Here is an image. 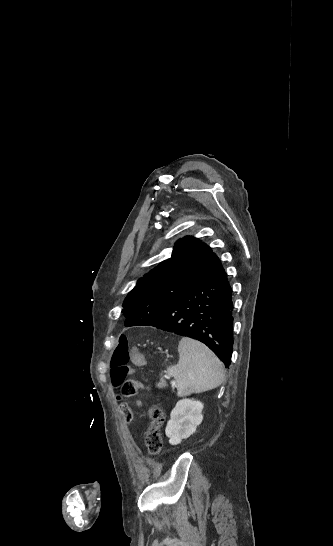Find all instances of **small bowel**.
<instances>
[{
  "mask_svg": "<svg viewBox=\"0 0 333 546\" xmlns=\"http://www.w3.org/2000/svg\"><path fill=\"white\" fill-rule=\"evenodd\" d=\"M131 356L129 358V361L131 365H135L138 371L143 372L147 368V358L142 351V348L140 346H133L131 348ZM119 409H123V416H125V421H127L125 424L128 426L130 423L134 420V417L132 416L133 408H131L130 404L125 403V399H120Z\"/></svg>",
  "mask_w": 333,
  "mask_h": 546,
  "instance_id": "small-bowel-1",
  "label": "small bowel"
}]
</instances>
